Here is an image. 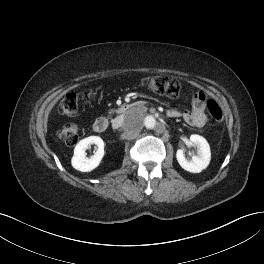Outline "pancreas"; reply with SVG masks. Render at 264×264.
I'll return each instance as SVG.
<instances>
[{
    "mask_svg": "<svg viewBox=\"0 0 264 264\" xmlns=\"http://www.w3.org/2000/svg\"><path fill=\"white\" fill-rule=\"evenodd\" d=\"M116 110L115 109H111L110 111H109V114H112V113H114ZM117 112H121V110H118Z\"/></svg>",
    "mask_w": 264,
    "mask_h": 264,
    "instance_id": "obj_1",
    "label": "pancreas"
}]
</instances>
